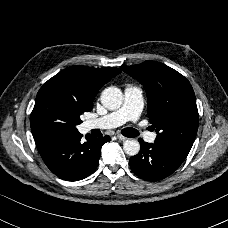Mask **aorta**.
Returning a JSON list of instances; mask_svg holds the SVG:
<instances>
[{"mask_svg": "<svg viewBox=\"0 0 228 228\" xmlns=\"http://www.w3.org/2000/svg\"><path fill=\"white\" fill-rule=\"evenodd\" d=\"M123 102V94L119 88L108 87L101 94V103L108 110H116L120 108ZM126 154L134 156L140 150V144L137 140H126L123 144Z\"/></svg>", "mask_w": 228, "mask_h": 228, "instance_id": "aorta-1", "label": "aorta"}]
</instances>
